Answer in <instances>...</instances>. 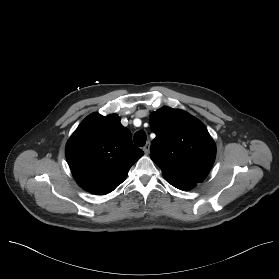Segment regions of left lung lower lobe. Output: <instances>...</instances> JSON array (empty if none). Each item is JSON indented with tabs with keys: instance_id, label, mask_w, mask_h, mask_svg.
I'll return each mask as SVG.
<instances>
[{
	"instance_id": "obj_1",
	"label": "left lung lower lobe",
	"mask_w": 279,
	"mask_h": 279,
	"mask_svg": "<svg viewBox=\"0 0 279 279\" xmlns=\"http://www.w3.org/2000/svg\"><path fill=\"white\" fill-rule=\"evenodd\" d=\"M165 180L169 182L174 187L181 189V190H189L197 185V183L180 180L173 177L164 176Z\"/></svg>"
}]
</instances>
